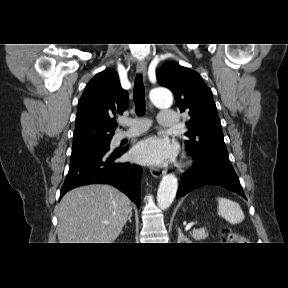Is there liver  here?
Listing matches in <instances>:
<instances>
[{
	"instance_id": "obj_1",
	"label": "liver",
	"mask_w": 288,
	"mask_h": 288,
	"mask_svg": "<svg viewBox=\"0 0 288 288\" xmlns=\"http://www.w3.org/2000/svg\"><path fill=\"white\" fill-rule=\"evenodd\" d=\"M130 204L125 194L109 185L69 191L58 207L59 243H113L127 221Z\"/></svg>"
}]
</instances>
